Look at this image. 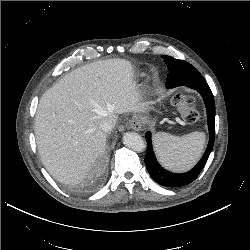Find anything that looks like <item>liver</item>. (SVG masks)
Listing matches in <instances>:
<instances>
[{
	"instance_id": "liver-1",
	"label": "liver",
	"mask_w": 250,
	"mask_h": 250,
	"mask_svg": "<svg viewBox=\"0 0 250 250\" xmlns=\"http://www.w3.org/2000/svg\"><path fill=\"white\" fill-rule=\"evenodd\" d=\"M132 64L97 61L66 74L41 97L35 136L41 161L56 180L73 184L86 177L106 146L99 128L105 119L140 112Z\"/></svg>"
}]
</instances>
